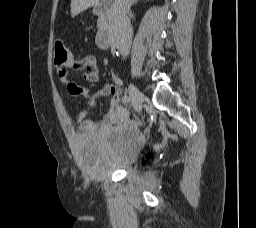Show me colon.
Here are the masks:
<instances>
[{"label":"colon","mask_w":256,"mask_h":228,"mask_svg":"<svg viewBox=\"0 0 256 228\" xmlns=\"http://www.w3.org/2000/svg\"><path fill=\"white\" fill-rule=\"evenodd\" d=\"M70 55L71 53L63 42L57 41L55 43L54 62L56 65L65 64L69 60Z\"/></svg>","instance_id":"1"}]
</instances>
